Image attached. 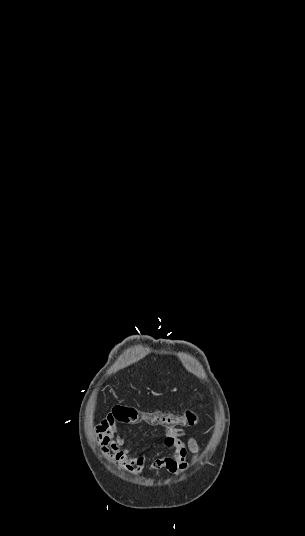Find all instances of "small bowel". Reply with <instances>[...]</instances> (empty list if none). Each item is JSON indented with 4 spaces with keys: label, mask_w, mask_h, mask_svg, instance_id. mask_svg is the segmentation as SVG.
<instances>
[{
    "label": "small bowel",
    "mask_w": 305,
    "mask_h": 536,
    "mask_svg": "<svg viewBox=\"0 0 305 536\" xmlns=\"http://www.w3.org/2000/svg\"><path fill=\"white\" fill-rule=\"evenodd\" d=\"M113 411H104L102 419L92 427L95 444L101 453L119 469L134 475L165 469L173 474H181L197 460L199 447L197 441L188 437L184 429L178 427H160L163 442L172 449V455L155 458L146 467V455L135 453L125 446L124 438L119 435V428L114 425Z\"/></svg>",
    "instance_id": "small-bowel-1"
}]
</instances>
